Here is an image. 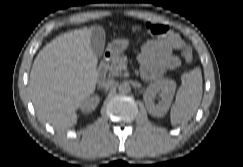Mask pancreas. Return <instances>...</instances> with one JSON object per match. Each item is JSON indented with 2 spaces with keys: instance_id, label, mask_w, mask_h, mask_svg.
<instances>
[{
  "instance_id": "pancreas-1",
  "label": "pancreas",
  "mask_w": 243,
  "mask_h": 167,
  "mask_svg": "<svg viewBox=\"0 0 243 167\" xmlns=\"http://www.w3.org/2000/svg\"><path fill=\"white\" fill-rule=\"evenodd\" d=\"M127 63V57L124 55L115 56L110 64H107L109 77H115L121 75V71Z\"/></svg>"
}]
</instances>
